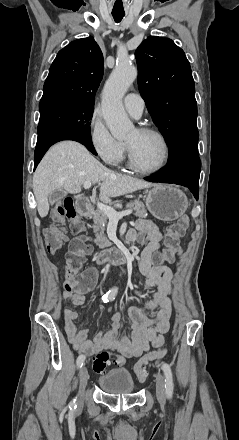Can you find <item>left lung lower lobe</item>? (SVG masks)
Masks as SVG:
<instances>
[{"mask_svg":"<svg viewBox=\"0 0 239 440\" xmlns=\"http://www.w3.org/2000/svg\"><path fill=\"white\" fill-rule=\"evenodd\" d=\"M198 130L178 134L169 144L166 168L146 177L150 182L175 183L188 187L196 199L199 193L200 159L198 155Z\"/></svg>","mask_w":239,"mask_h":440,"instance_id":"0a47b994","label":"left lung lower lobe"}]
</instances>
